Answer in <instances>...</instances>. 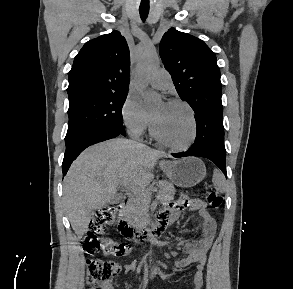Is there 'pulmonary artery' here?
I'll return each mask as SVG.
<instances>
[{"label": "pulmonary artery", "instance_id": "e3ab8cb5", "mask_svg": "<svg viewBox=\"0 0 293 289\" xmlns=\"http://www.w3.org/2000/svg\"><path fill=\"white\" fill-rule=\"evenodd\" d=\"M150 83L154 88L167 89L172 85V79L166 70L159 69L151 77Z\"/></svg>", "mask_w": 293, "mask_h": 289}]
</instances>
